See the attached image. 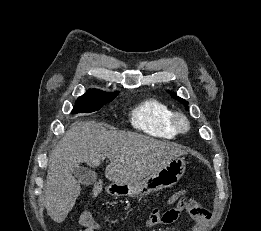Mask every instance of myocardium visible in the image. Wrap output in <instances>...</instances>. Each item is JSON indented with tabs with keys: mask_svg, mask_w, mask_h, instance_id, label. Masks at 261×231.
<instances>
[{
	"mask_svg": "<svg viewBox=\"0 0 261 231\" xmlns=\"http://www.w3.org/2000/svg\"><path fill=\"white\" fill-rule=\"evenodd\" d=\"M172 125L177 133H187L191 129L189 118L182 112H175L172 115Z\"/></svg>",
	"mask_w": 261,
	"mask_h": 231,
	"instance_id": "myocardium-1",
	"label": "myocardium"
}]
</instances>
